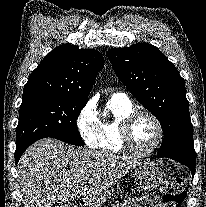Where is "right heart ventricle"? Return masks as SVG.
Returning <instances> with one entry per match:
<instances>
[{
	"mask_svg": "<svg viewBox=\"0 0 206 207\" xmlns=\"http://www.w3.org/2000/svg\"><path fill=\"white\" fill-rule=\"evenodd\" d=\"M109 118L100 121V145L99 147L109 153L124 152L120 139L119 129L122 121L135 110L129 100L112 96L106 106Z\"/></svg>",
	"mask_w": 206,
	"mask_h": 207,
	"instance_id": "1",
	"label": "right heart ventricle"
}]
</instances>
